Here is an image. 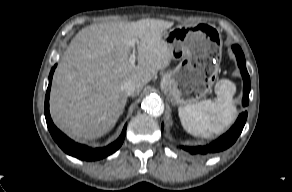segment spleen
<instances>
[{
    "mask_svg": "<svg viewBox=\"0 0 292 192\" xmlns=\"http://www.w3.org/2000/svg\"><path fill=\"white\" fill-rule=\"evenodd\" d=\"M235 92L233 82L221 79L215 85V100L208 99L179 107L178 114L183 128L203 138L224 132L236 117L237 111L233 104Z\"/></svg>",
    "mask_w": 292,
    "mask_h": 192,
    "instance_id": "obj_1",
    "label": "spleen"
}]
</instances>
